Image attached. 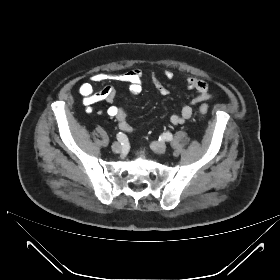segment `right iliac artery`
I'll use <instances>...</instances> for the list:
<instances>
[{"instance_id": "1", "label": "right iliac artery", "mask_w": 280, "mask_h": 280, "mask_svg": "<svg viewBox=\"0 0 280 280\" xmlns=\"http://www.w3.org/2000/svg\"><path fill=\"white\" fill-rule=\"evenodd\" d=\"M117 140L121 143L124 144L127 141V136L123 134L122 132H119L117 134Z\"/></svg>"}]
</instances>
